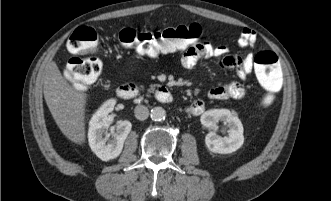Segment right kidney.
Wrapping results in <instances>:
<instances>
[{"label":"right kidney","instance_id":"obj_1","mask_svg":"<svg viewBox=\"0 0 331 201\" xmlns=\"http://www.w3.org/2000/svg\"><path fill=\"white\" fill-rule=\"evenodd\" d=\"M115 104V99L104 102L89 122V145L102 161H109L121 154L124 142L132 128L129 121H119L116 125V133L109 139V134H107V129L110 126L108 114L113 111Z\"/></svg>","mask_w":331,"mask_h":201}]
</instances>
